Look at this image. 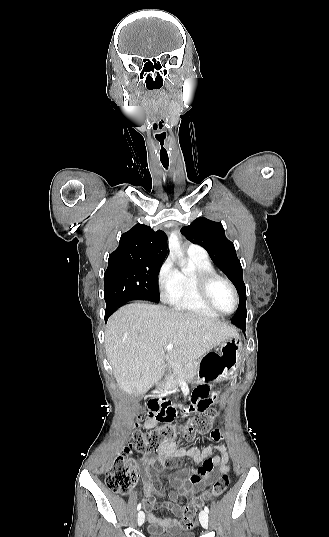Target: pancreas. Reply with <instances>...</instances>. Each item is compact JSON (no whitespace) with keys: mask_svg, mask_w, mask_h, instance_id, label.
I'll use <instances>...</instances> for the list:
<instances>
[{"mask_svg":"<svg viewBox=\"0 0 329 537\" xmlns=\"http://www.w3.org/2000/svg\"><path fill=\"white\" fill-rule=\"evenodd\" d=\"M197 371L198 362L196 361L184 363L182 366L170 370L165 380L157 385L158 391L167 393L169 390L174 389L180 382L192 379L197 374Z\"/></svg>","mask_w":329,"mask_h":537,"instance_id":"obj_1","label":"pancreas"}]
</instances>
